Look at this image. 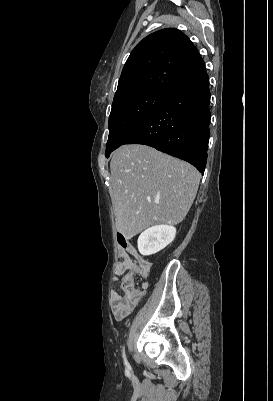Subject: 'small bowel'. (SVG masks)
Here are the masks:
<instances>
[{"instance_id":"obj_1","label":"small bowel","mask_w":273,"mask_h":401,"mask_svg":"<svg viewBox=\"0 0 273 401\" xmlns=\"http://www.w3.org/2000/svg\"><path fill=\"white\" fill-rule=\"evenodd\" d=\"M120 245H126L127 251L131 252V259L130 260H120L115 268V275L117 278V272L123 271L121 269V262L122 261H135L136 258L144 259L139 256L135 250V248L127 242H121ZM135 277V276H134ZM145 289L148 288V283L144 282ZM112 298V313L117 321H122L127 318L137 307L138 304H144L145 297L141 290H138L136 284H125L123 286V290H112L111 293ZM127 302V303H126Z\"/></svg>"}]
</instances>
